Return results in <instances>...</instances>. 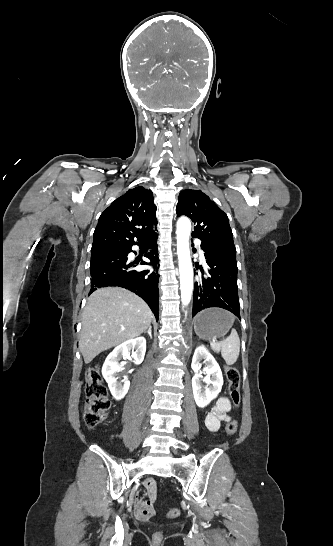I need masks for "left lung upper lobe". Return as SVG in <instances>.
<instances>
[{
  "label": "left lung upper lobe",
  "instance_id": "5c2ea615",
  "mask_svg": "<svg viewBox=\"0 0 333 546\" xmlns=\"http://www.w3.org/2000/svg\"><path fill=\"white\" fill-rule=\"evenodd\" d=\"M178 216H188L195 224L192 237L199 238L227 256L236 257V248L227 215L202 191L187 189L179 194ZM227 265L219 268L228 272Z\"/></svg>",
  "mask_w": 333,
  "mask_h": 546
}]
</instances>
